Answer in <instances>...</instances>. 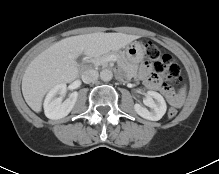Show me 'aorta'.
I'll list each match as a JSON object with an SVG mask.
<instances>
[{"mask_svg": "<svg viewBox=\"0 0 219 174\" xmlns=\"http://www.w3.org/2000/svg\"><path fill=\"white\" fill-rule=\"evenodd\" d=\"M100 78L104 82H108L113 78V73L109 69H104L100 72Z\"/></svg>", "mask_w": 219, "mask_h": 174, "instance_id": "762f6f07", "label": "aorta"}]
</instances>
